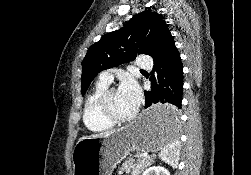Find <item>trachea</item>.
<instances>
[{
  "mask_svg": "<svg viewBox=\"0 0 251 175\" xmlns=\"http://www.w3.org/2000/svg\"><path fill=\"white\" fill-rule=\"evenodd\" d=\"M141 72H145V70H140Z\"/></svg>",
  "mask_w": 251,
  "mask_h": 175,
  "instance_id": "obj_1",
  "label": "trachea"
}]
</instances>
